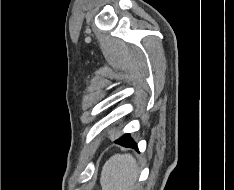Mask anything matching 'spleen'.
<instances>
[{"label": "spleen", "mask_w": 234, "mask_h": 190, "mask_svg": "<svg viewBox=\"0 0 234 190\" xmlns=\"http://www.w3.org/2000/svg\"><path fill=\"white\" fill-rule=\"evenodd\" d=\"M139 170L130 154H116L103 166L101 173L102 190H134Z\"/></svg>", "instance_id": "obj_1"}]
</instances>
